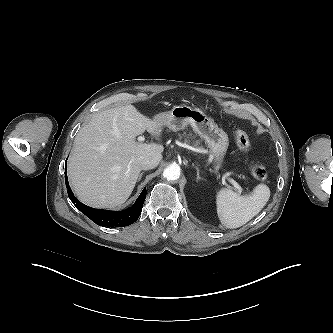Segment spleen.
Masks as SVG:
<instances>
[{
  "label": "spleen",
  "mask_w": 333,
  "mask_h": 333,
  "mask_svg": "<svg viewBox=\"0 0 333 333\" xmlns=\"http://www.w3.org/2000/svg\"><path fill=\"white\" fill-rule=\"evenodd\" d=\"M270 198V190L264 184L257 185L251 195L239 196L228 188H222L216 196L217 214L226 228L241 227L256 216Z\"/></svg>",
  "instance_id": "3e777b00"
}]
</instances>
